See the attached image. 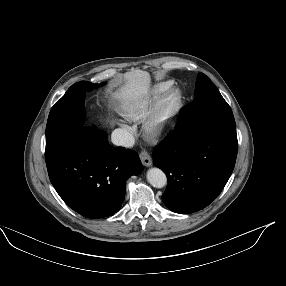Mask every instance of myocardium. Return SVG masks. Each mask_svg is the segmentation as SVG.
I'll return each instance as SVG.
<instances>
[{
	"mask_svg": "<svg viewBox=\"0 0 286 286\" xmlns=\"http://www.w3.org/2000/svg\"><path fill=\"white\" fill-rule=\"evenodd\" d=\"M183 107V94L172 88L163 94L146 116L143 129L150 138H159L173 124Z\"/></svg>",
	"mask_w": 286,
	"mask_h": 286,
	"instance_id": "obj_1",
	"label": "myocardium"
}]
</instances>
